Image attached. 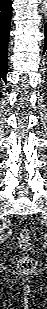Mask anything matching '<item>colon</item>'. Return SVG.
Segmentation results:
<instances>
[{
  "mask_svg": "<svg viewBox=\"0 0 47 309\" xmlns=\"http://www.w3.org/2000/svg\"><path fill=\"white\" fill-rule=\"evenodd\" d=\"M30 239L31 232L27 228H22L17 232V241L19 247L23 251H28L30 249ZM18 268L23 273H31L36 269L37 262L34 258L30 256H22L18 260Z\"/></svg>",
  "mask_w": 47,
  "mask_h": 309,
  "instance_id": "obj_1",
  "label": "colon"
}]
</instances>
